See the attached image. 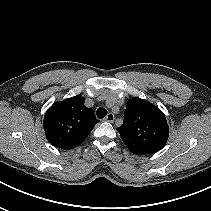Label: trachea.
<instances>
[{"label": "trachea", "mask_w": 211, "mask_h": 211, "mask_svg": "<svg viewBox=\"0 0 211 211\" xmlns=\"http://www.w3.org/2000/svg\"><path fill=\"white\" fill-rule=\"evenodd\" d=\"M96 114L99 119H102L107 115V110L105 108L100 107L97 109Z\"/></svg>", "instance_id": "trachea-1"}]
</instances>
